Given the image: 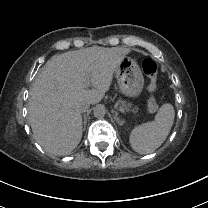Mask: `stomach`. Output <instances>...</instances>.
<instances>
[{"mask_svg":"<svg viewBox=\"0 0 208 208\" xmlns=\"http://www.w3.org/2000/svg\"><path fill=\"white\" fill-rule=\"evenodd\" d=\"M115 76L121 92L129 97L138 96L144 85V77L135 60L124 56L115 69Z\"/></svg>","mask_w":208,"mask_h":208,"instance_id":"1","label":"stomach"}]
</instances>
